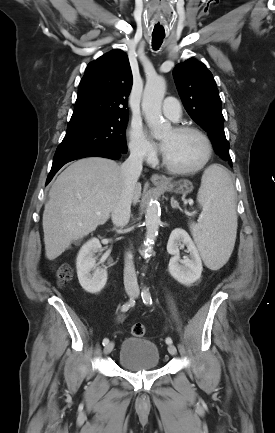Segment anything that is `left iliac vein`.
<instances>
[{
  "label": "left iliac vein",
  "instance_id": "1",
  "mask_svg": "<svg viewBox=\"0 0 275 433\" xmlns=\"http://www.w3.org/2000/svg\"><path fill=\"white\" fill-rule=\"evenodd\" d=\"M137 293L135 294V297H137ZM168 352H169V354L170 355H176L177 354V350H176V347L174 346V345H169L168 346Z\"/></svg>",
  "mask_w": 275,
  "mask_h": 433
}]
</instances>
